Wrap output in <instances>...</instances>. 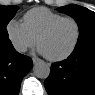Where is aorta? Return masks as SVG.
Returning <instances> with one entry per match:
<instances>
[{
	"mask_svg": "<svg viewBox=\"0 0 95 95\" xmlns=\"http://www.w3.org/2000/svg\"><path fill=\"white\" fill-rule=\"evenodd\" d=\"M33 73L37 78L46 79L50 74V66L44 61L37 62L33 66Z\"/></svg>",
	"mask_w": 95,
	"mask_h": 95,
	"instance_id": "obj_1",
	"label": "aorta"
}]
</instances>
